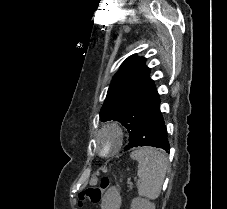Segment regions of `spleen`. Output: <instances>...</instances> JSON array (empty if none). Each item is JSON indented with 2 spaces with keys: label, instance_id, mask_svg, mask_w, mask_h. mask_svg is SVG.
<instances>
[{
  "label": "spleen",
  "instance_id": "1",
  "mask_svg": "<svg viewBox=\"0 0 227 209\" xmlns=\"http://www.w3.org/2000/svg\"><path fill=\"white\" fill-rule=\"evenodd\" d=\"M131 159L138 161V193L146 199H157L161 193L162 185L167 173V159L158 149L139 147L132 151Z\"/></svg>",
  "mask_w": 227,
  "mask_h": 209
}]
</instances>
